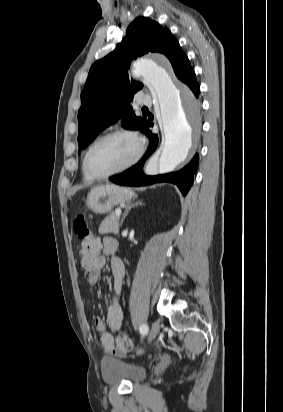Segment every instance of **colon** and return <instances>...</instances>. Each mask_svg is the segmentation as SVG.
<instances>
[{"label":"colon","mask_w":283,"mask_h":412,"mask_svg":"<svg viewBox=\"0 0 283 412\" xmlns=\"http://www.w3.org/2000/svg\"><path fill=\"white\" fill-rule=\"evenodd\" d=\"M73 229L81 241L80 257L81 260L90 263L98 253V239L88 226L86 217L83 213L76 215L73 222ZM116 350L122 353L133 350L134 344L126 335H119L115 339Z\"/></svg>","instance_id":"5ec220e1"}]
</instances>
